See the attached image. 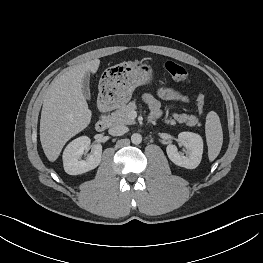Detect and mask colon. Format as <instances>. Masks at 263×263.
Returning a JSON list of instances; mask_svg holds the SVG:
<instances>
[{"label": "colon", "instance_id": "obj_1", "mask_svg": "<svg viewBox=\"0 0 263 263\" xmlns=\"http://www.w3.org/2000/svg\"><path fill=\"white\" fill-rule=\"evenodd\" d=\"M164 68L166 70V72L175 80L177 81H189L190 77L188 72L186 71V69L184 67H182L181 65L173 62V61H167L164 64ZM197 105L199 110L202 112L204 110L205 107V95L203 94V92H199L197 94Z\"/></svg>", "mask_w": 263, "mask_h": 263}]
</instances>
